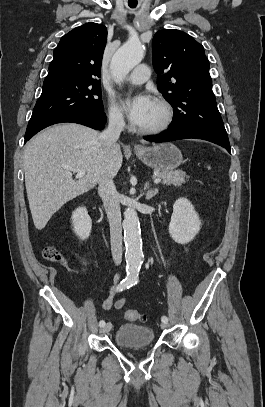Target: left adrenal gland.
<instances>
[{"instance_id": "left-adrenal-gland-1", "label": "left adrenal gland", "mask_w": 265, "mask_h": 407, "mask_svg": "<svg viewBox=\"0 0 265 407\" xmlns=\"http://www.w3.org/2000/svg\"><path fill=\"white\" fill-rule=\"evenodd\" d=\"M146 190H148L147 193H146L147 200H150L151 198H153L158 193L157 188H155L154 190L149 189V183H146L145 186H144V191H146Z\"/></svg>"}]
</instances>
